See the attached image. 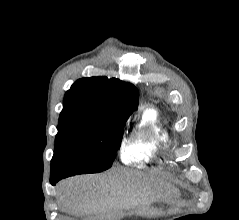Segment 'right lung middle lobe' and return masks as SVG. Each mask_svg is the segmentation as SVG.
I'll return each mask as SVG.
<instances>
[{"label": "right lung middle lobe", "mask_w": 239, "mask_h": 220, "mask_svg": "<svg viewBox=\"0 0 239 220\" xmlns=\"http://www.w3.org/2000/svg\"><path fill=\"white\" fill-rule=\"evenodd\" d=\"M126 121H59L50 179L109 169L121 145Z\"/></svg>", "instance_id": "obj_1"}]
</instances>
